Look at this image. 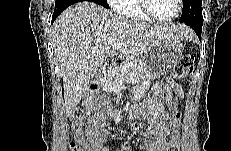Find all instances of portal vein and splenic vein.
<instances>
[{"instance_id": "18ae733b", "label": "portal vein and splenic vein", "mask_w": 231, "mask_h": 151, "mask_svg": "<svg viewBox=\"0 0 231 151\" xmlns=\"http://www.w3.org/2000/svg\"><path fill=\"white\" fill-rule=\"evenodd\" d=\"M122 45H123L122 43H116L112 46V48L115 50H119L122 47ZM129 67H130V65L125 64V65L121 66L119 71L123 72V71L127 70Z\"/></svg>"}]
</instances>
